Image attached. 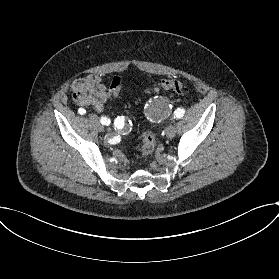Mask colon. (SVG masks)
<instances>
[{
  "mask_svg": "<svg viewBox=\"0 0 279 279\" xmlns=\"http://www.w3.org/2000/svg\"><path fill=\"white\" fill-rule=\"evenodd\" d=\"M158 89L164 93L168 94H183L189 91V87L186 81L181 79H166L161 81L158 84ZM111 104L107 105V108L110 109ZM155 151V137L152 133L146 132L143 137V147L142 154L144 156H150Z\"/></svg>",
  "mask_w": 279,
  "mask_h": 279,
  "instance_id": "5ec220e1",
  "label": "colon"
}]
</instances>
